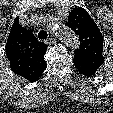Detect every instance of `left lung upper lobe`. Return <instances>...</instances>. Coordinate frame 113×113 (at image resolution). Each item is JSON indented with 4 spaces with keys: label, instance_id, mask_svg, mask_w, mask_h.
Wrapping results in <instances>:
<instances>
[{
    "label": "left lung upper lobe",
    "instance_id": "left-lung-upper-lobe-1",
    "mask_svg": "<svg viewBox=\"0 0 113 113\" xmlns=\"http://www.w3.org/2000/svg\"><path fill=\"white\" fill-rule=\"evenodd\" d=\"M68 26L79 36L81 42L75 50L74 65L95 73L103 64V36L88 12L77 7L68 18Z\"/></svg>",
    "mask_w": 113,
    "mask_h": 113
}]
</instances>
